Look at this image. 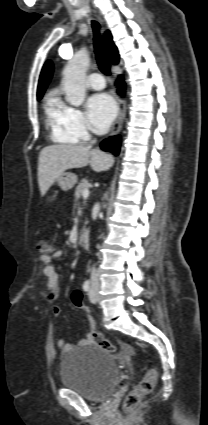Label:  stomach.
Returning <instances> with one entry per match:
<instances>
[{"label": "stomach", "instance_id": "stomach-1", "mask_svg": "<svg viewBox=\"0 0 208 425\" xmlns=\"http://www.w3.org/2000/svg\"><path fill=\"white\" fill-rule=\"evenodd\" d=\"M77 175L74 173H63L57 179V183L63 191L72 189L77 183Z\"/></svg>", "mask_w": 208, "mask_h": 425}]
</instances>
